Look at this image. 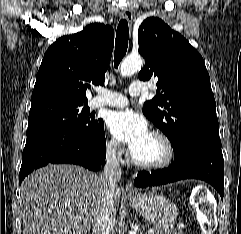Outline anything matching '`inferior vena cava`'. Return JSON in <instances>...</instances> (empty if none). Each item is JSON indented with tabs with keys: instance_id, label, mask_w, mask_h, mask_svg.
Wrapping results in <instances>:
<instances>
[{
	"instance_id": "602c4592",
	"label": "inferior vena cava",
	"mask_w": 241,
	"mask_h": 234,
	"mask_svg": "<svg viewBox=\"0 0 241 234\" xmlns=\"http://www.w3.org/2000/svg\"><path fill=\"white\" fill-rule=\"evenodd\" d=\"M116 151L117 143L107 146L105 167L100 175V180L104 185V199L93 220V234H113L114 232L116 208L113 193L121 179V167Z\"/></svg>"
}]
</instances>
